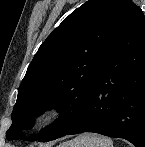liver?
<instances>
[{
  "instance_id": "obj_1",
  "label": "liver",
  "mask_w": 145,
  "mask_h": 147,
  "mask_svg": "<svg viewBox=\"0 0 145 147\" xmlns=\"http://www.w3.org/2000/svg\"><path fill=\"white\" fill-rule=\"evenodd\" d=\"M66 145H68V142H66V143H64V144H62V145H60L59 147H66Z\"/></svg>"
}]
</instances>
